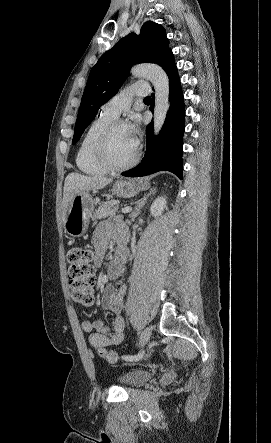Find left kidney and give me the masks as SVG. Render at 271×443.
<instances>
[{"label":"left kidney","instance_id":"left-kidney-1","mask_svg":"<svg viewBox=\"0 0 271 443\" xmlns=\"http://www.w3.org/2000/svg\"><path fill=\"white\" fill-rule=\"evenodd\" d=\"M166 204V198H156L150 208L151 216H153V218L161 216L166 208Z\"/></svg>","mask_w":271,"mask_h":443}]
</instances>
